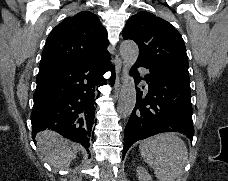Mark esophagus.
Listing matches in <instances>:
<instances>
[{"instance_id": "34e87169", "label": "esophagus", "mask_w": 228, "mask_h": 181, "mask_svg": "<svg viewBox=\"0 0 228 181\" xmlns=\"http://www.w3.org/2000/svg\"><path fill=\"white\" fill-rule=\"evenodd\" d=\"M127 74H128V68L126 67V65H123L121 79L124 80L127 77Z\"/></svg>"}]
</instances>
